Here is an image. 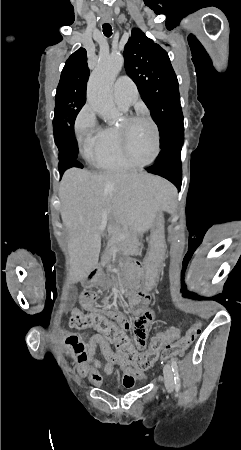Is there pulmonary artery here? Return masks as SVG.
Here are the masks:
<instances>
[{"label":"pulmonary artery","instance_id":"obj_1","mask_svg":"<svg viewBox=\"0 0 241 450\" xmlns=\"http://www.w3.org/2000/svg\"><path fill=\"white\" fill-rule=\"evenodd\" d=\"M135 95L136 90L133 88L132 81L128 77L123 76L117 79L113 89V97L117 104L128 107L133 102Z\"/></svg>","mask_w":241,"mask_h":450}]
</instances>
